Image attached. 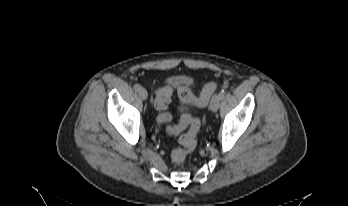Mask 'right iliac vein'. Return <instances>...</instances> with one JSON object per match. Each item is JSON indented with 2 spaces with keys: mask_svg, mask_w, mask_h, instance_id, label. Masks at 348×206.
Masks as SVG:
<instances>
[{
  "mask_svg": "<svg viewBox=\"0 0 348 206\" xmlns=\"http://www.w3.org/2000/svg\"><path fill=\"white\" fill-rule=\"evenodd\" d=\"M139 96L142 100H146L147 97H148V93H147V90L145 88H141L139 91Z\"/></svg>",
  "mask_w": 348,
  "mask_h": 206,
  "instance_id": "obj_1",
  "label": "right iliac vein"
}]
</instances>
